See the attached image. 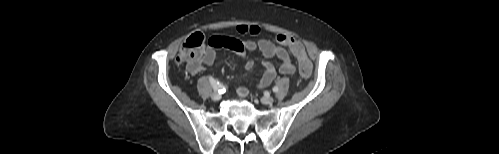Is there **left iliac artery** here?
Wrapping results in <instances>:
<instances>
[{
	"label": "left iliac artery",
	"mask_w": 499,
	"mask_h": 154,
	"mask_svg": "<svg viewBox=\"0 0 499 154\" xmlns=\"http://www.w3.org/2000/svg\"><path fill=\"white\" fill-rule=\"evenodd\" d=\"M272 90H273V92H275V93H276V92H278V87H276V86H275V87H273V89H272Z\"/></svg>",
	"instance_id": "left-iliac-artery-1"
}]
</instances>
